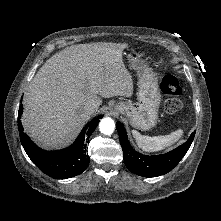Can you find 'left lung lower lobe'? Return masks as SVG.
Here are the masks:
<instances>
[{
	"instance_id": "left-lung-lower-lobe-1",
	"label": "left lung lower lobe",
	"mask_w": 221,
	"mask_h": 221,
	"mask_svg": "<svg viewBox=\"0 0 221 221\" xmlns=\"http://www.w3.org/2000/svg\"><path fill=\"white\" fill-rule=\"evenodd\" d=\"M117 131L123 150V158L127 168L142 177H156L171 171L187 153L195 136L193 132L189 139L174 150L154 156H146L136 152L130 145L124 125L117 122Z\"/></svg>"
}]
</instances>
